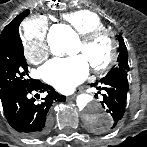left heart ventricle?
<instances>
[{
	"instance_id": "b2bd125f",
	"label": "left heart ventricle",
	"mask_w": 147,
	"mask_h": 147,
	"mask_svg": "<svg viewBox=\"0 0 147 147\" xmlns=\"http://www.w3.org/2000/svg\"><path fill=\"white\" fill-rule=\"evenodd\" d=\"M75 53L82 54L88 63L101 64L109 54V41L107 38H100L90 49H84L80 42L77 43Z\"/></svg>"
}]
</instances>
